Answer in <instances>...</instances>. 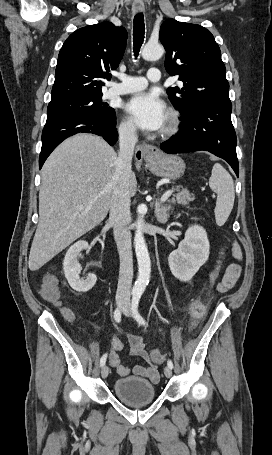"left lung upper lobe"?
<instances>
[{
    "mask_svg": "<svg viewBox=\"0 0 272 455\" xmlns=\"http://www.w3.org/2000/svg\"><path fill=\"white\" fill-rule=\"evenodd\" d=\"M159 37L166 49V70L183 82L182 88L167 90L182 117L205 103H231L221 51L209 30L168 19L162 23Z\"/></svg>",
    "mask_w": 272,
    "mask_h": 455,
    "instance_id": "left-lung-upper-lobe-1",
    "label": "left lung upper lobe"
}]
</instances>
